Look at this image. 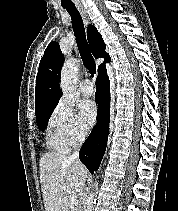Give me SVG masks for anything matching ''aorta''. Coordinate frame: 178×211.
Listing matches in <instances>:
<instances>
[{
    "mask_svg": "<svg viewBox=\"0 0 178 211\" xmlns=\"http://www.w3.org/2000/svg\"><path fill=\"white\" fill-rule=\"evenodd\" d=\"M78 73V63L72 59L65 61L61 70L60 87L62 89L63 97L70 105H74L79 99V92L76 87ZM97 183L95 188L97 189ZM96 201V193L93 190L87 197L83 211H92Z\"/></svg>",
    "mask_w": 178,
    "mask_h": 211,
    "instance_id": "762f6f07",
    "label": "aorta"
}]
</instances>
